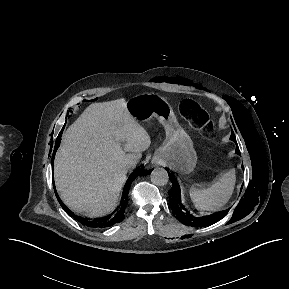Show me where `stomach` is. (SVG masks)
<instances>
[{
    "instance_id": "obj_1",
    "label": "stomach",
    "mask_w": 289,
    "mask_h": 289,
    "mask_svg": "<svg viewBox=\"0 0 289 289\" xmlns=\"http://www.w3.org/2000/svg\"><path fill=\"white\" fill-rule=\"evenodd\" d=\"M128 112L138 119L155 117L166 132L163 154L168 163L177 171L189 174L197 163V154L190 136L178 123L171 105L163 98L144 94L126 102Z\"/></svg>"
}]
</instances>
